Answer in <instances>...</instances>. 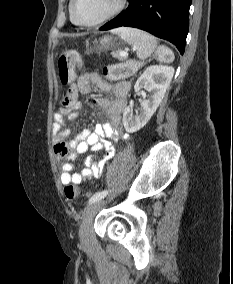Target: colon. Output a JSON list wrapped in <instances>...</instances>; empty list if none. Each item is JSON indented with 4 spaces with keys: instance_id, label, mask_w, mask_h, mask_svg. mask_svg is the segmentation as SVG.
<instances>
[{
    "instance_id": "5ec220e1",
    "label": "colon",
    "mask_w": 233,
    "mask_h": 284,
    "mask_svg": "<svg viewBox=\"0 0 233 284\" xmlns=\"http://www.w3.org/2000/svg\"><path fill=\"white\" fill-rule=\"evenodd\" d=\"M174 54L169 47L159 46L152 57L160 63H171ZM145 62L144 61H127L124 63L113 64L103 69V75L112 81H117L129 77L134 74ZM82 65L80 54L76 50H65L60 53L57 59L58 73L60 81L63 85L72 84L75 80V69ZM64 193L67 199L73 200L78 194V188L69 184L64 188Z\"/></svg>"
}]
</instances>
